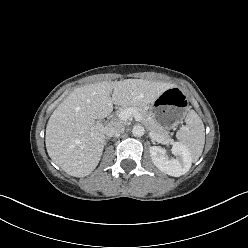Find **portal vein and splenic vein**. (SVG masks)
<instances>
[{"instance_id":"obj_1","label":"portal vein and splenic vein","mask_w":248,"mask_h":248,"mask_svg":"<svg viewBox=\"0 0 248 248\" xmlns=\"http://www.w3.org/2000/svg\"><path fill=\"white\" fill-rule=\"evenodd\" d=\"M131 116H134V118L138 121L141 120L138 110L132 107L126 108L118 114V118L123 121H126Z\"/></svg>"}]
</instances>
